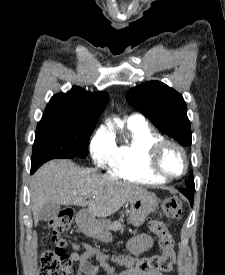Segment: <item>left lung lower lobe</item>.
<instances>
[{"label":"left lung lower lobe","mask_w":225,"mask_h":275,"mask_svg":"<svg viewBox=\"0 0 225 275\" xmlns=\"http://www.w3.org/2000/svg\"><path fill=\"white\" fill-rule=\"evenodd\" d=\"M180 191L189 199L191 206H193V193L195 192V188H186Z\"/></svg>","instance_id":"1"}]
</instances>
